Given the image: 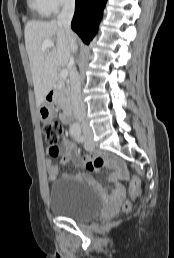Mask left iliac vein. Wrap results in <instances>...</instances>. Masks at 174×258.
Here are the masks:
<instances>
[{
  "mask_svg": "<svg viewBox=\"0 0 174 258\" xmlns=\"http://www.w3.org/2000/svg\"><path fill=\"white\" fill-rule=\"evenodd\" d=\"M84 147L86 150H93L95 147L91 132H89L85 137Z\"/></svg>",
  "mask_w": 174,
  "mask_h": 258,
  "instance_id": "1",
  "label": "left iliac vein"
}]
</instances>
